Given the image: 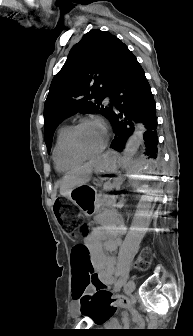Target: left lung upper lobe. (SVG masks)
<instances>
[{"label":"left lung upper lobe","mask_w":193,"mask_h":336,"mask_svg":"<svg viewBox=\"0 0 193 336\" xmlns=\"http://www.w3.org/2000/svg\"><path fill=\"white\" fill-rule=\"evenodd\" d=\"M127 46L106 31L91 30L73 46L62 69L54 76L44 105V136L50 152L54 131L65 118L99 113L109 119L110 96Z\"/></svg>","instance_id":"1"}]
</instances>
